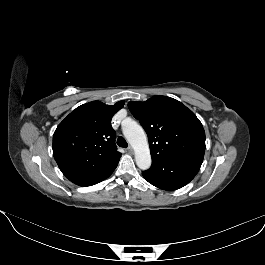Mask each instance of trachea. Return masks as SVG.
<instances>
[{
  "mask_svg": "<svg viewBox=\"0 0 265 265\" xmlns=\"http://www.w3.org/2000/svg\"><path fill=\"white\" fill-rule=\"evenodd\" d=\"M117 144L119 147H122V148H127L128 147V144L126 142V140L120 136L118 139H117Z\"/></svg>",
  "mask_w": 265,
  "mask_h": 265,
  "instance_id": "3493384b",
  "label": "trachea"
}]
</instances>
